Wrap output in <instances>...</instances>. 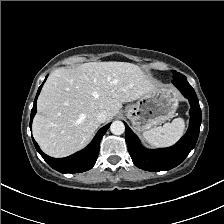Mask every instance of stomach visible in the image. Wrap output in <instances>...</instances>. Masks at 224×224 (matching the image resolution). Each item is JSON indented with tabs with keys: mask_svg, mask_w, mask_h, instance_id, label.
<instances>
[{
	"mask_svg": "<svg viewBox=\"0 0 224 224\" xmlns=\"http://www.w3.org/2000/svg\"><path fill=\"white\" fill-rule=\"evenodd\" d=\"M180 100L176 89L168 85H160L155 91L148 93L129 104L125 115L138 132H143L170 120L178 107Z\"/></svg>",
	"mask_w": 224,
	"mask_h": 224,
	"instance_id": "obj_1",
	"label": "stomach"
}]
</instances>
